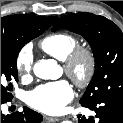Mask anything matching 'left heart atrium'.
<instances>
[{
	"instance_id": "left-heart-atrium-1",
	"label": "left heart atrium",
	"mask_w": 123,
	"mask_h": 123,
	"mask_svg": "<svg viewBox=\"0 0 123 123\" xmlns=\"http://www.w3.org/2000/svg\"><path fill=\"white\" fill-rule=\"evenodd\" d=\"M68 81L60 80L37 86L28 92L26 102L32 108L48 114L61 112L73 98Z\"/></svg>"
}]
</instances>
